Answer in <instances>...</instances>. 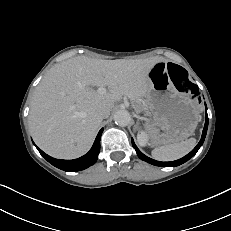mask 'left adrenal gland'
Segmentation results:
<instances>
[{"instance_id":"a2214340","label":"left adrenal gland","mask_w":231,"mask_h":231,"mask_svg":"<svg viewBox=\"0 0 231 231\" xmlns=\"http://www.w3.org/2000/svg\"><path fill=\"white\" fill-rule=\"evenodd\" d=\"M137 126H139V122H137Z\"/></svg>"}]
</instances>
